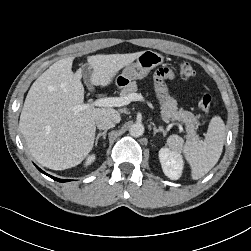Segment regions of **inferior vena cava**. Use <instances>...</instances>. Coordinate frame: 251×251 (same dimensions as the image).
<instances>
[{"mask_svg":"<svg viewBox=\"0 0 251 251\" xmlns=\"http://www.w3.org/2000/svg\"><path fill=\"white\" fill-rule=\"evenodd\" d=\"M116 121L109 115H103L96 119V126L100 130H107L115 126Z\"/></svg>","mask_w":251,"mask_h":251,"instance_id":"602c4592","label":"inferior vena cava"}]
</instances>
